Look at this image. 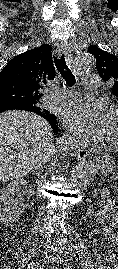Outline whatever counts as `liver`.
Instances as JSON below:
<instances>
[{
  "mask_svg": "<svg viewBox=\"0 0 118 269\" xmlns=\"http://www.w3.org/2000/svg\"><path fill=\"white\" fill-rule=\"evenodd\" d=\"M53 132L42 117L26 111L0 114V182L19 180L49 160Z\"/></svg>",
  "mask_w": 118,
  "mask_h": 269,
  "instance_id": "1",
  "label": "liver"
}]
</instances>
